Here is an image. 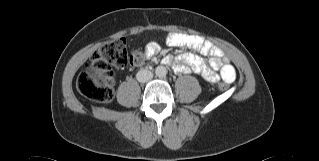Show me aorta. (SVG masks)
<instances>
[{"mask_svg":"<svg viewBox=\"0 0 319 161\" xmlns=\"http://www.w3.org/2000/svg\"><path fill=\"white\" fill-rule=\"evenodd\" d=\"M155 74H156V76H158L160 78L165 77L167 74V70L164 66H157L155 69Z\"/></svg>","mask_w":319,"mask_h":161,"instance_id":"762f6f07","label":"aorta"}]
</instances>
